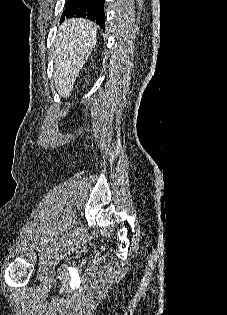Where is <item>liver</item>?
Returning a JSON list of instances; mask_svg holds the SVG:
<instances>
[{
	"label": "liver",
	"mask_w": 227,
	"mask_h": 315,
	"mask_svg": "<svg viewBox=\"0 0 227 315\" xmlns=\"http://www.w3.org/2000/svg\"><path fill=\"white\" fill-rule=\"evenodd\" d=\"M96 25L73 18L63 22L54 43V79L58 93L71 94L76 77L96 45Z\"/></svg>",
	"instance_id": "obj_1"
}]
</instances>
